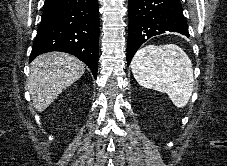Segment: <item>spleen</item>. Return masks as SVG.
Segmentation results:
<instances>
[{"mask_svg":"<svg viewBox=\"0 0 227 166\" xmlns=\"http://www.w3.org/2000/svg\"><path fill=\"white\" fill-rule=\"evenodd\" d=\"M131 68L141 86L166 93L178 108L187 105L194 86L193 67L188 55L177 45L140 48Z\"/></svg>","mask_w":227,"mask_h":166,"instance_id":"obj_1","label":"spleen"}]
</instances>
